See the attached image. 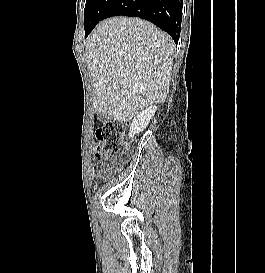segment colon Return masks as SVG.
Wrapping results in <instances>:
<instances>
[{
  "label": "colon",
  "mask_w": 265,
  "mask_h": 273,
  "mask_svg": "<svg viewBox=\"0 0 265 273\" xmlns=\"http://www.w3.org/2000/svg\"><path fill=\"white\" fill-rule=\"evenodd\" d=\"M123 130L120 124L107 122L96 130L98 157H117L122 155Z\"/></svg>",
  "instance_id": "1"
}]
</instances>
